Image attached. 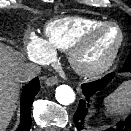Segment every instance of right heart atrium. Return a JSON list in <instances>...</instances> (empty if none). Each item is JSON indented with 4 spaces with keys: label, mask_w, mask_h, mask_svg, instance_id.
<instances>
[{
    "label": "right heart atrium",
    "mask_w": 131,
    "mask_h": 131,
    "mask_svg": "<svg viewBox=\"0 0 131 131\" xmlns=\"http://www.w3.org/2000/svg\"><path fill=\"white\" fill-rule=\"evenodd\" d=\"M25 52L29 59L39 63L49 62L54 57V52L46 41L35 34L29 36L25 45Z\"/></svg>",
    "instance_id": "obj_1"
}]
</instances>
